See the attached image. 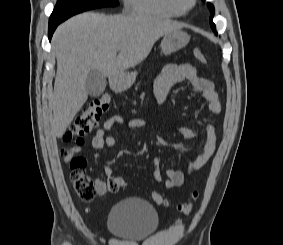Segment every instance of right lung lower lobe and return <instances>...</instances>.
I'll return each instance as SVG.
<instances>
[{"mask_svg": "<svg viewBox=\"0 0 283 245\" xmlns=\"http://www.w3.org/2000/svg\"><path fill=\"white\" fill-rule=\"evenodd\" d=\"M61 22H54V23H49V28H48V38L51 40V37L56 29V27L60 24Z\"/></svg>", "mask_w": 283, "mask_h": 245, "instance_id": "1", "label": "right lung lower lobe"}]
</instances>
